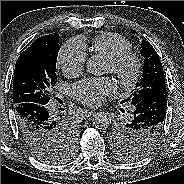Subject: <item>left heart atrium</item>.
Masks as SVG:
<instances>
[{
	"instance_id": "obj_1",
	"label": "left heart atrium",
	"mask_w": 184,
	"mask_h": 184,
	"mask_svg": "<svg viewBox=\"0 0 184 184\" xmlns=\"http://www.w3.org/2000/svg\"><path fill=\"white\" fill-rule=\"evenodd\" d=\"M115 92L116 84L110 78L84 79L72 86L73 96L88 106L100 105L105 96Z\"/></svg>"
}]
</instances>
